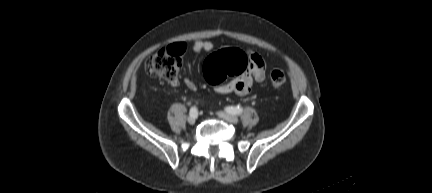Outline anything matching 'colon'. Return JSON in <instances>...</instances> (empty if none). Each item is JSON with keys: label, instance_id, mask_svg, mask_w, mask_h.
I'll use <instances>...</instances> for the list:
<instances>
[{"label": "colon", "instance_id": "5ec220e1", "mask_svg": "<svg viewBox=\"0 0 432 193\" xmlns=\"http://www.w3.org/2000/svg\"><path fill=\"white\" fill-rule=\"evenodd\" d=\"M184 48L177 44L162 48L152 55L145 64L148 74L175 82L182 67V54ZM250 67L247 53L237 48L222 49L210 55L204 63V74L208 81L214 85L222 83L228 77H237ZM286 74L276 69L270 74L271 84L280 87L286 83Z\"/></svg>", "mask_w": 432, "mask_h": 193}]
</instances>
